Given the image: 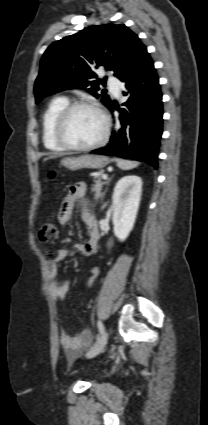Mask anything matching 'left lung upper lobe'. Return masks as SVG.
I'll list each match as a JSON object with an SVG mask.
<instances>
[{
	"instance_id": "obj_1",
	"label": "left lung upper lobe",
	"mask_w": 208,
	"mask_h": 425,
	"mask_svg": "<svg viewBox=\"0 0 208 425\" xmlns=\"http://www.w3.org/2000/svg\"><path fill=\"white\" fill-rule=\"evenodd\" d=\"M147 52L137 34L124 24L91 26L52 43L42 56L35 81L36 103L45 96L71 88L86 89L109 107L108 95L97 93L103 80H95V69L103 66L122 80L140 63Z\"/></svg>"
}]
</instances>
